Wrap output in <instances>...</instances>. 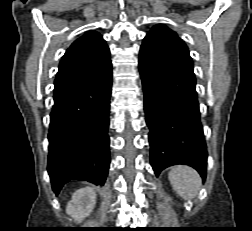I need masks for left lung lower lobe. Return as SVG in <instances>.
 Segmentation results:
<instances>
[{
    "instance_id": "obj_1",
    "label": "left lung lower lobe",
    "mask_w": 252,
    "mask_h": 231,
    "mask_svg": "<svg viewBox=\"0 0 252 231\" xmlns=\"http://www.w3.org/2000/svg\"><path fill=\"white\" fill-rule=\"evenodd\" d=\"M139 71L155 174L175 164H186L204 180L207 151L188 48L167 40L144 42Z\"/></svg>"
}]
</instances>
